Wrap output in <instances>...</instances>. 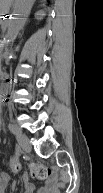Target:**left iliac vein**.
<instances>
[{
    "label": "left iliac vein",
    "mask_w": 103,
    "mask_h": 193,
    "mask_svg": "<svg viewBox=\"0 0 103 193\" xmlns=\"http://www.w3.org/2000/svg\"><path fill=\"white\" fill-rule=\"evenodd\" d=\"M16 138L22 150L26 152L31 151V145H30L28 136H26L20 130H18V133L16 134Z\"/></svg>",
    "instance_id": "left-iliac-vein-1"
}]
</instances>
